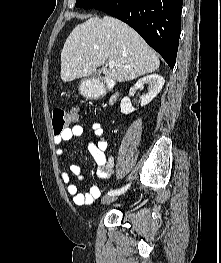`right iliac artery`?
Returning a JSON list of instances; mask_svg holds the SVG:
<instances>
[{
	"label": "right iliac artery",
	"instance_id": "1",
	"mask_svg": "<svg viewBox=\"0 0 221 263\" xmlns=\"http://www.w3.org/2000/svg\"><path fill=\"white\" fill-rule=\"evenodd\" d=\"M129 187H130V184H127L125 187L121 189L111 190L108 192V195H120L121 193H124Z\"/></svg>",
	"mask_w": 221,
	"mask_h": 263
}]
</instances>
